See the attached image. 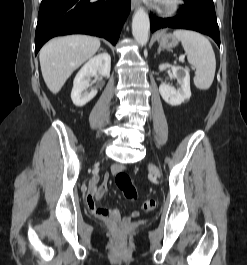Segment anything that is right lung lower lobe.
<instances>
[{
  "instance_id": "98d812e1",
  "label": "right lung lower lobe",
  "mask_w": 247,
  "mask_h": 265,
  "mask_svg": "<svg viewBox=\"0 0 247 265\" xmlns=\"http://www.w3.org/2000/svg\"><path fill=\"white\" fill-rule=\"evenodd\" d=\"M130 12V0H42L35 33V54L50 38L89 34L116 44Z\"/></svg>"
}]
</instances>
